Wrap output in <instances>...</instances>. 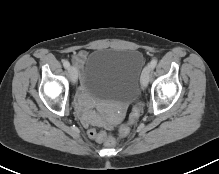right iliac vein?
Wrapping results in <instances>:
<instances>
[{
  "label": "right iliac vein",
  "instance_id": "63e3f726",
  "mask_svg": "<svg viewBox=\"0 0 219 174\" xmlns=\"http://www.w3.org/2000/svg\"><path fill=\"white\" fill-rule=\"evenodd\" d=\"M68 73H69L71 81L73 83H75L77 81V78H78V71H77V69L74 66H70L68 68Z\"/></svg>",
  "mask_w": 219,
  "mask_h": 174
}]
</instances>
